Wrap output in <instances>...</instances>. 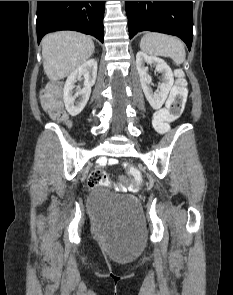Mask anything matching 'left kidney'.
<instances>
[{"label": "left kidney", "instance_id": "1", "mask_svg": "<svg viewBox=\"0 0 233 295\" xmlns=\"http://www.w3.org/2000/svg\"><path fill=\"white\" fill-rule=\"evenodd\" d=\"M146 63L155 66L156 71L162 73L163 75L162 82L159 84V92H153L150 88L152 77L147 73V67L145 66ZM136 67L147 101L153 109H160L174 83L171 68L163 59L156 56H148L146 53L141 51L136 54Z\"/></svg>", "mask_w": 233, "mask_h": 295}]
</instances>
